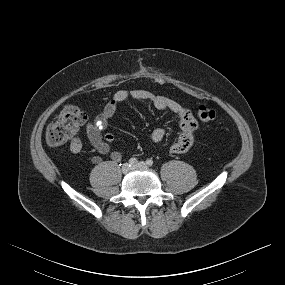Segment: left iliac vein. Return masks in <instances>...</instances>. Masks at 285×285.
<instances>
[{"label": "left iliac vein", "mask_w": 285, "mask_h": 285, "mask_svg": "<svg viewBox=\"0 0 285 285\" xmlns=\"http://www.w3.org/2000/svg\"><path fill=\"white\" fill-rule=\"evenodd\" d=\"M148 166L144 162H139L132 166V169H147Z\"/></svg>", "instance_id": "1"}]
</instances>
